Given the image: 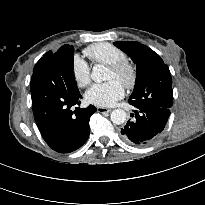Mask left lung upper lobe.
I'll list each match as a JSON object with an SVG mask.
<instances>
[{"label":"left lung upper lobe","instance_id":"obj_1","mask_svg":"<svg viewBox=\"0 0 205 205\" xmlns=\"http://www.w3.org/2000/svg\"><path fill=\"white\" fill-rule=\"evenodd\" d=\"M136 64L137 75L128 102L135 106L170 108L173 104L172 78L169 68L149 47L135 41L114 42Z\"/></svg>","mask_w":205,"mask_h":205}]
</instances>
